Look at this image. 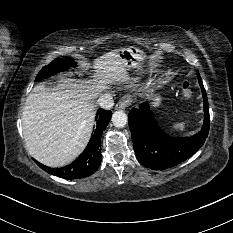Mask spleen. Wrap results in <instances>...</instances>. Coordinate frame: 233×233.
Wrapping results in <instances>:
<instances>
[{"instance_id": "obj_1", "label": "spleen", "mask_w": 233, "mask_h": 233, "mask_svg": "<svg viewBox=\"0 0 233 233\" xmlns=\"http://www.w3.org/2000/svg\"><path fill=\"white\" fill-rule=\"evenodd\" d=\"M187 126V122L174 123L171 125V131L173 132H184Z\"/></svg>"}]
</instances>
